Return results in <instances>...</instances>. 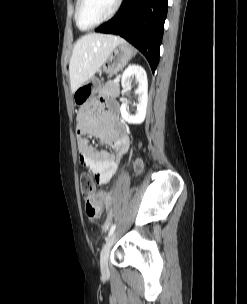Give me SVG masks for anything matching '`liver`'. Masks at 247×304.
Masks as SVG:
<instances>
[{
    "label": "liver",
    "mask_w": 247,
    "mask_h": 304,
    "mask_svg": "<svg viewBox=\"0 0 247 304\" xmlns=\"http://www.w3.org/2000/svg\"><path fill=\"white\" fill-rule=\"evenodd\" d=\"M124 42V39L118 36L96 33L78 39L69 63L72 93L92 78L114 48Z\"/></svg>",
    "instance_id": "6515ba94"
}]
</instances>
